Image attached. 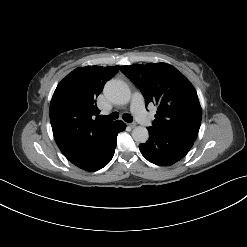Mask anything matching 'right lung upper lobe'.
Wrapping results in <instances>:
<instances>
[{"mask_svg": "<svg viewBox=\"0 0 247 247\" xmlns=\"http://www.w3.org/2000/svg\"><path fill=\"white\" fill-rule=\"evenodd\" d=\"M119 66L79 67L57 86L50 103V122L54 139L67 159L79 155L90 135L111 122L100 121L96 98Z\"/></svg>", "mask_w": 247, "mask_h": 247, "instance_id": "obj_1", "label": "right lung upper lobe"}]
</instances>
